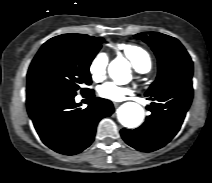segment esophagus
I'll use <instances>...</instances> for the list:
<instances>
[{
  "label": "esophagus",
  "instance_id": "obj_1",
  "mask_svg": "<svg viewBox=\"0 0 212 183\" xmlns=\"http://www.w3.org/2000/svg\"><path fill=\"white\" fill-rule=\"evenodd\" d=\"M113 105H114V107H118L119 106V103L114 102Z\"/></svg>",
  "mask_w": 212,
  "mask_h": 183
}]
</instances>
